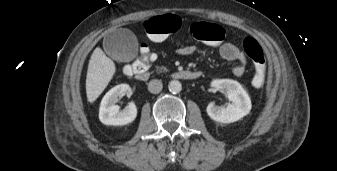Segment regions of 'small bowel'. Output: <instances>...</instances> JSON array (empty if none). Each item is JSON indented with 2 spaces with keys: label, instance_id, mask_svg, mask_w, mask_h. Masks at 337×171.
Here are the masks:
<instances>
[{
  "label": "small bowel",
  "instance_id": "c3829d8e",
  "mask_svg": "<svg viewBox=\"0 0 337 171\" xmlns=\"http://www.w3.org/2000/svg\"><path fill=\"white\" fill-rule=\"evenodd\" d=\"M195 51V47L192 45H185L178 49L180 55H190ZM219 53L226 61L237 62V65L233 68V74L235 76H241L247 65L246 55L232 42L225 41L219 47Z\"/></svg>",
  "mask_w": 337,
  "mask_h": 171
}]
</instances>
